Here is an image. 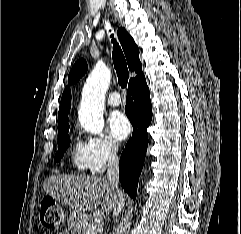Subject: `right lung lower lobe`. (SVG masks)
I'll return each instance as SVG.
<instances>
[{
	"instance_id": "obj_1",
	"label": "right lung lower lobe",
	"mask_w": 241,
	"mask_h": 234,
	"mask_svg": "<svg viewBox=\"0 0 241 234\" xmlns=\"http://www.w3.org/2000/svg\"><path fill=\"white\" fill-rule=\"evenodd\" d=\"M125 113L133 125V133L121 154L119 180L128 195L135 199L148 146L146 129L152 119L149 89L144 74L130 80L128 84Z\"/></svg>"
}]
</instances>
